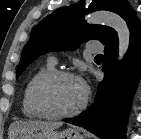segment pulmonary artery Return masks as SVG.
Instances as JSON below:
<instances>
[{
    "label": "pulmonary artery",
    "mask_w": 141,
    "mask_h": 139,
    "mask_svg": "<svg viewBox=\"0 0 141 139\" xmlns=\"http://www.w3.org/2000/svg\"><path fill=\"white\" fill-rule=\"evenodd\" d=\"M87 49H88L89 52L98 53V52H101L103 50V47L99 43L91 42V43L88 44ZM50 62H52L54 64L55 63V59L51 58Z\"/></svg>",
    "instance_id": "obj_1"
}]
</instances>
